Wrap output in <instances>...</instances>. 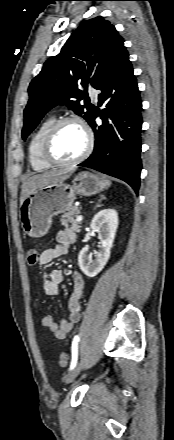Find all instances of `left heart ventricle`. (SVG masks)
<instances>
[{"label":"left heart ventricle","mask_w":174,"mask_h":440,"mask_svg":"<svg viewBox=\"0 0 174 440\" xmlns=\"http://www.w3.org/2000/svg\"><path fill=\"white\" fill-rule=\"evenodd\" d=\"M86 146V135L80 125L67 123L57 132L52 145L56 159L68 161L78 157Z\"/></svg>","instance_id":"b2bd125f"}]
</instances>
